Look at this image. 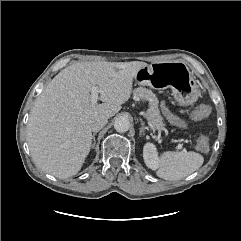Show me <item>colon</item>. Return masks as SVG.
Masks as SVG:
<instances>
[{
	"instance_id": "colon-1",
	"label": "colon",
	"mask_w": 241,
	"mask_h": 241,
	"mask_svg": "<svg viewBox=\"0 0 241 241\" xmlns=\"http://www.w3.org/2000/svg\"><path fill=\"white\" fill-rule=\"evenodd\" d=\"M211 114V107L208 105H200L197 108L193 109L191 112V117L194 120H203L206 119ZM197 149L206 152L209 149V141L205 136L199 137L197 140Z\"/></svg>"
}]
</instances>
